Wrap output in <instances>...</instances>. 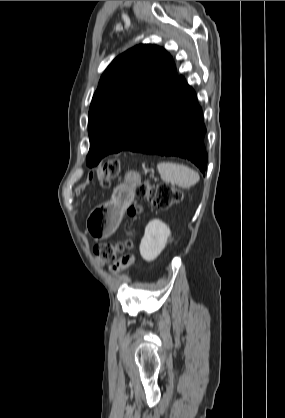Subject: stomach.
I'll return each mask as SVG.
<instances>
[{"label":"stomach","mask_w":285,"mask_h":418,"mask_svg":"<svg viewBox=\"0 0 285 418\" xmlns=\"http://www.w3.org/2000/svg\"><path fill=\"white\" fill-rule=\"evenodd\" d=\"M140 182L138 172H127L125 183L114 189L112 199L91 212L87 219V231L92 237L105 239L117 229L125 209L134 200L135 188Z\"/></svg>","instance_id":"obj_1"}]
</instances>
